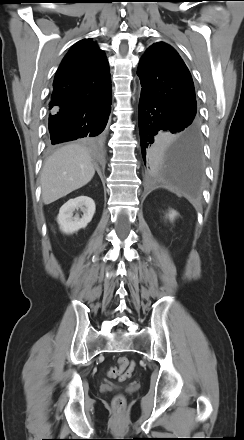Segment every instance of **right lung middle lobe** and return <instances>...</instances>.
Instances as JSON below:
<instances>
[{
    "instance_id": "1",
    "label": "right lung middle lobe",
    "mask_w": 244,
    "mask_h": 440,
    "mask_svg": "<svg viewBox=\"0 0 244 440\" xmlns=\"http://www.w3.org/2000/svg\"><path fill=\"white\" fill-rule=\"evenodd\" d=\"M87 140H89V141H98L99 140V137H93V138H91V137H88V138H86Z\"/></svg>"
}]
</instances>
